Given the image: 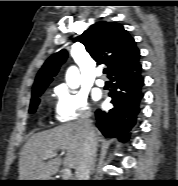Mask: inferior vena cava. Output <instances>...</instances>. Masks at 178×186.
<instances>
[{"label":"inferior vena cava","mask_w":178,"mask_h":186,"mask_svg":"<svg viewBox=\"0 0 178 186\" xmlns=\"http://www.w3.org/2000/svg\"><path fill=\"white\" fill-rule=\"evenodd\" d=\"M90 114L82 119L84 146L81 160L76 167L75 180H89L94 167L96 157L97 141Z\"/></svg>","instance_id":"1"}]
</instances>
